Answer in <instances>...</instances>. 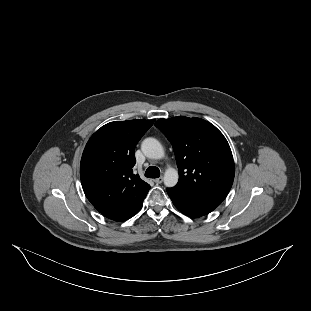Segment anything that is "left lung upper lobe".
Instances as JSON below:
<instances>
[{"instance_id": "obj_1", "label": "left lung upper lobe", "mask_w": 311, "mask_h": 311, "mask_svg": "<svg viewBox=\"0 0 311 311\" xmlns=\"http://www.w3.org/2000/svg\"><path fill=\"white\" fill-rule=\"evenodd\" d=\"M155 126L173 146L179 169L174 188L222 202L235 175L232 152L223 134L201 118L159 119Z\"/></svg>"}]
</instances>
